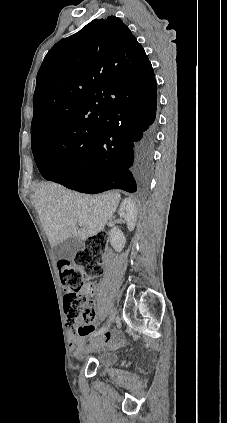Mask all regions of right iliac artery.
Returning <instances> with one entry per match:
<instances>
[{
  "label": "right iliac artery",
  "mask_w": 227,
  "mask_h": 423,
  "mask_svg": "<svg viewBox=\"0 0 227 423\" xmlns=\"http://www.w3.org/2000/svg\"><path fill=\"white\" fill-rule=\"evenodd\" d=\"M106 330H107V327H102L101 329H99L97 332L94 333V336L101 335Z\"/></svg>",
  "instance_id": "82829eb1"
}]
</instances>
